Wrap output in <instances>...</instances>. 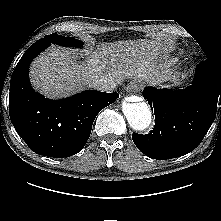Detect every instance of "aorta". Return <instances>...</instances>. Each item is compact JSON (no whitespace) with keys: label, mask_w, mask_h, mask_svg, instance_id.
Listing matches in <instances>:
<instances>
[{"label":"aorta","mask_w":221,"mask_h":221,"mask_svg":"<svg viewBox=\"0 0 221 221\" xmlns=\"http://www.w3.org/2000/svg\"><path fill=\"white\" fill-rule=\"evenodd\" d=\"M122 111L132 129L143 131L151 124V111L145 102H123Z\"/></svg>","instance_id":"1"}]
</instances>
